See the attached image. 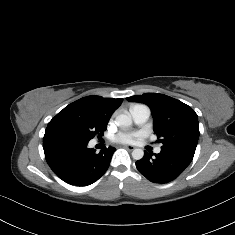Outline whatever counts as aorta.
Segmentation results:
<instances>
[{
	"label": "aorta",
	"mask_w": 235,
	"mask_h": 235,
	"mask_svg": "<svg viewBox=\"0 0 235 235\" xmlns=\"http://www.w3.org/2000/svg\"><path fill=\"white\" fill-rule=\"evenodd\" d=\"M115 124L121 128H127L132 125V117L128 114H120L115 119ZM144 156V151L142 149H134L132 151V157L135 160H140Z\"/></svg>",
	"instance_id": "1"
}]
</instances>
